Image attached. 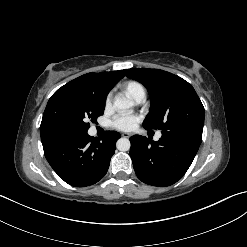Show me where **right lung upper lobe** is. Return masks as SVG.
<instances>
[{
    "label": "right lung upper lobe",
    "instance_id": "obj_1",
    "mask_svg": "<svg viewBox=\"0 0 247 247\" xmlns=\"http://www.w3.org/2000/svg\"><path fill=\"white\" fill-rule=\"evenodd\" d=\"M124 73L122 71H111V72H101V73H87L82 75L61 88H59L49 99L47 106L54 100L58 95L62 94L63 92L77 88V87H84L92 91L95 95L101 96L106 98L107 94L111 90V88L121 79L123 78ZM46 106V107H47ZM41 132V141L42 144L54 141L56 139L48 136L41 124L40 126Z\"/></svg>",
    "mask_w": 247,
    "mask_h": 247
}]
</instances>
